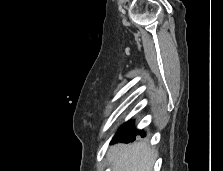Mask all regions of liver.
Masks as SVG:
<instances>
[{"label":"liver","instance_id":"1","mask_svg":"<svg viewBox=\"0 0 223 171\" xmlns=\"http://www.w3.org/2000/svg\"><path fill=\"white\" fill-rule=\"evenodd\" d=\"M158 152L146 142L116 144L108 151L112 171H152Z\"/></svg>","mask_w":223,"mask_h":171}]
</instances>
